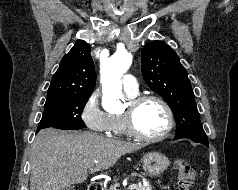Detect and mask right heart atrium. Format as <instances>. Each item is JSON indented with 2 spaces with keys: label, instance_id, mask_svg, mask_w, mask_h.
<instances>
[{
  "label": "right heart atrium",
  "instance_id": "1",
  "mask_svg": "<svg viewBox=\"0 0 238 190\" xmlns=\"http://www.w3.org/2000/svg\"><path fill=\"white\" fill-rule=\"evenodd\" d=\"M80 117L86 127L96 133L104 134L110 131V114L100 105V92L93 91L84 102Z\"/></svg>",
  "mask_w": 238,
  "mask_h": 190
}]
</instances>
